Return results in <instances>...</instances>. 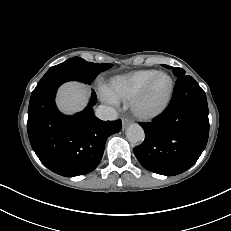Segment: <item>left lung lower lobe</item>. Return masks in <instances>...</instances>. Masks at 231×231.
Listing matches in <instances>:
<instances>
[{"instance_id": "left-lung-lower-lobe-1", "label": "left lung lower lobe", "mask_w": 231, "mask_h": 231, "mask_svg": "<svg viewBox=\"0 0 231 231\" xmlns=\"http://www.w3.org/2000/svg\"><path fill=\"white\" fill-rule=\"evenodd\" d=\"M139 124L146 133L134 148L139 163L157 174H180L196 163L208 141L205 92L191 76L179 77L167 109L152 122Z\"/></svg>"}]
</instances>
